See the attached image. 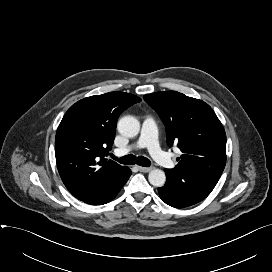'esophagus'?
Segmentation results:
<instances>
[{
	"label": "esophagus",
	"instance_id": "esophagus-1",
	"mask_svg": "<svg viewBox=\"0 0 272 272\" xmlns=\"http://www.w3.org/2000/svg\"><path fill=\"white\" fill-rule=\"evenodd\" d=\"M138 169H139L140 172L146 173V172H150L153 169V167H142V166H139Z\"/></svg>",
	"mask_w": 272,
	"mask_h": 272
}]
</instances>
